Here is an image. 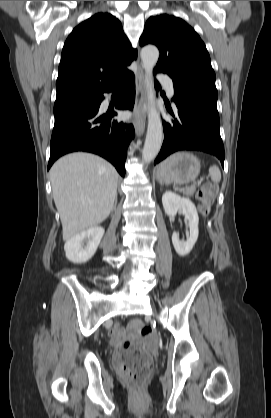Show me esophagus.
<instances>
[{
    "label": "esophagus",
    "mask_w": 271,
    "mask_h": 418,
    "mask_svg": "<svg viewBox=\"0 0 271 418\" xmlns=\"http://www.w3.org/2000/svg\"><path fill=\"white\" fill-rule=\"evenodd\" d=\"M145 73L141 66L138 67L136 74V100L134 108V128L137 134L141 135L145 130Z\"/></svg>",
    "instance_id": "esophagus-1"
}]
</instances>
